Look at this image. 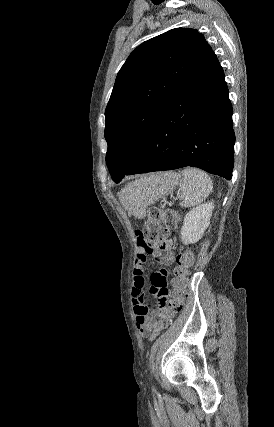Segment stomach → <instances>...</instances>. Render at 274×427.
Returning a JSON list of instances; mask_svg holds the SVG:
<instances>
[{"instance_id":"stomach-1","label":"stomach","mask_w":274,"mask_h":427,"mask_svg":"<svg viewBox=\"0 0 274 427\" xmlns=\"http://www.w3.org/2000/svg\"><path fill=\"white\" fill-rule=\"evenodd\" d=\"M150 182L149 188H140L139 182ZM179 184V174L176 172H165V174H149L141 180H136L126 186L124 192H121L120 198L129 214L144 215L147 206L154 204L158 198L171 194L172 190ZM149 194L153 196L152 200H147ZM129 200V204L125 202ZM127 204V206H126Z\"/></svg>"}]
</instances>
